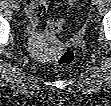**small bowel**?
<instances>
[{
    "mask_svg": "<svg viewBox=\"0 0 111 106\" xmlns=\"http://www.w3.org/2000/svg\"><path fill=\"white\" fill-rule=\"evenodd\" d=\"M25 6L32 23L31 32L34 36V26L36 25L37 18L40 17L45 12V2L42 0H26Z\"/></svg>",
    "mask_w": 111,
    "mask_h": 106,
    "instance_id": "obj_1",
    "label": "small bowel"
}]
</instances>
